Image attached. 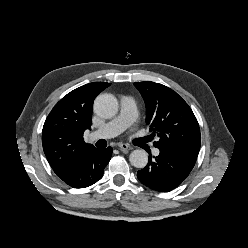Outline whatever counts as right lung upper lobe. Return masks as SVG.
Instances as JSON below:
<instances>
[{"instance_id": "right-lung-upper-lobe-1", "label": "right lung upper lobe", "mask_w": 248, "mask_h": 248, "mask_svg": "<svg viewBox=\"0 0 248 248\" xmlns=\"http://www.w3.org/2000/svg\"><path fill=\"white\" fill-rule=\"evenodd\" d=\"M108 86L110 83L93 82L71 91L46 118L42 145L57 176L68 171L86 151L94 147L84 142L83 133L92 125L95 97Z\"/></svg>"}]
</instances>
